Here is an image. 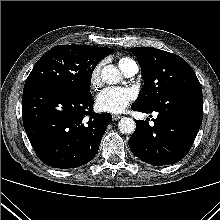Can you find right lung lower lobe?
I'll return each mask as SVG.
<instances>
[{"mask_svg": "<svg viewBox=\"0 0 220 220\" xmlns=\"http://www.w3.org/2000/svg\"><path fill=\"white\" fill-rule=\"evenodd\" d=\"M93 103L90 92L43 85L24 87L23 125L43 163L69 169L94 158L112 116L91 113Z\"/></svg>", "mask_w": 220, "mask_h": 220, "instance_id": "right-lung-lower-lobe-1", "label": "right lung lower lobe"}]
</instances>
